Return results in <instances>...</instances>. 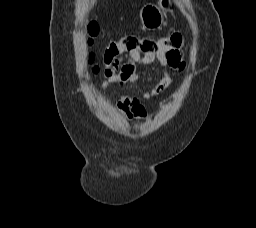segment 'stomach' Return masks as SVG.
<instances>
[{"mask_svg":"<svg viewBox=\"0 0 256 228\" xmlns=\"http://www.w3.org/2000/svg\"><path fill=\"white\" fill-rule=\"evenodd\" d=\"M171 5V0H160L158 6L146 5L140 11V18L145 29H158L163 23L162 10Z\"/></svg>","mask_w":256,"mask_h":228,"instance_id":"1","label":"stomach"}]
</instances>
